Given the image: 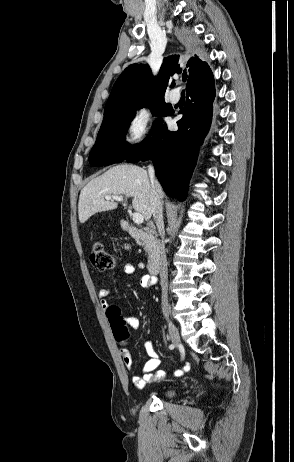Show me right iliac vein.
I'll list each match as a JSON object with an SVG mask.
<instances>
[{
  "label": "right iliac vein",
  "mask_w": 294,
  "mask_h": 462,
  "mask_svg": "<svg viewBox=\"0 0 294 462\" xmlns=\"http://www.w3.org/2000/svg\"><path fill=\"white\" fill-rule=\"evenodd\" d=\"M167 325H168V331H169V335H170L172 343L176 347H180L181 346V340H180V336H179V332H178L177 327L170 320H167Z\"/></svg>",
  "instance_id": "1"
}]
</instances>
